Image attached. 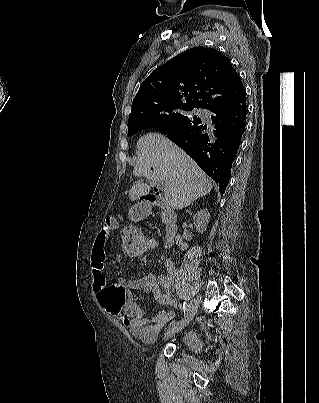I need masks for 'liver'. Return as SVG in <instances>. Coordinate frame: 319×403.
Returning a JSON list of instances; mask_svg holds the SVG:
<instances>
[{"label": "liver", "instance_id": "obj_1", "mask_svg": "<svg viewBox=\"0 0 319 403\" xmlns=\"http://www.w3.org/2000/svg\"><path fill=\"white\" fill-rule=\"evenodd\" d=\"M133 176H143L149 184H134L129 198L147 195L159 182L167 186L165 200L176 210L186 208L210 193L212 181L182 149L159 133H148L137 142V162Z\"/></svg>", "mask_w": 319, "mask_h": 403}]
</instances>
